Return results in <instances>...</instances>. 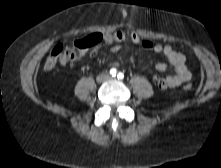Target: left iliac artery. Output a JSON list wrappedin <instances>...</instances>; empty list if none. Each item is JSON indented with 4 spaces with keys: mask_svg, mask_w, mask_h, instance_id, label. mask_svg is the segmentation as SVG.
Returning a JSON list of instances; mask_svg holds the SVG:
<instances>
[{
    "mask_svg": "<svg viewBox=\"0 0 221 168\" xmlns=\"http://www.w3.org/2000/svg\"><path fill=\"white\" fill-rule=\"evenodd\" d=\"M117 77H118V79H123L124 78V74L123 73H121V72H119L118 73V75H117Z\"/></svg>",
    "mask_w": 221,
    "mask_h": 168,
    "instance_id": "44dca946",
    "label": "left iliac artery"
}]
</instances>
